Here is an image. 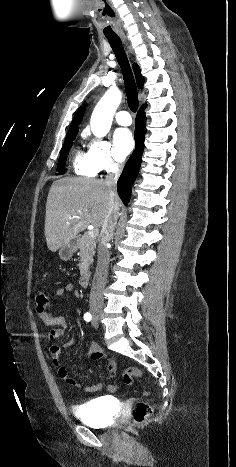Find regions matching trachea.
Returning a JSON list of instances; mask_svg holds the SVG:
<instances>
[{"label":"trachea","instance_id":"1","mask_svg":"<svg viewBox=\"0 0 236 467\" xmlns=\"http://www.w3.org/2000/svg\"><path fill=\"white\" fill-rule=\"evenodd\" d=\"M107 39L111 44V47L122 70L128 106L132 112H136L139 104L137 87L121 40L119 37H108Z\"/></svg>","mask_w":236,"mask_h":467}]
</instances>
